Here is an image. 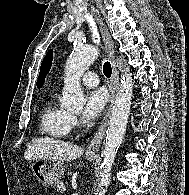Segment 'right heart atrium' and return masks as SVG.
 Masks as SVG:
<instances>
[{
  "mask_svg": "<svg viewBox=\"0 0 189 195\" xmlns=\"http://www.w3.org/2000/svg\"><path fill=\"white\" fill-rule=\"evenodd\" d=\"M69 124H70V128H73L78 124L76 116H74V115L70 116Z\"/></svg>",
  "mask_w": 189,
  "mask_h": 195,
  "instance_id": "d8ad5b80",
  "label": "right heart atrium"
}]
</instances>
